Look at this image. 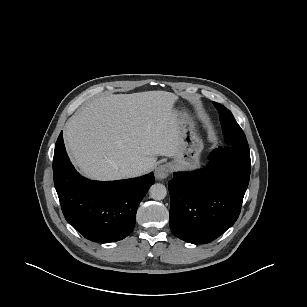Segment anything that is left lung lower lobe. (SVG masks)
Returning a JSON list of instances; mask_svg holds the SVG:
<instances>
[{"mask_svg":"<svg viewBox=\"0 0 307 307\" xmlns=\"http://www.w3.org/2000/svg\"><path fill=\"white\" fill-rule=\"evenodd\" d=\"M207 167L175 172L169 181V224L189 243H209L237 220L250 177V152L231 146L212 151Z\"/></svg>","mask_w":307,"mask_h":307,"instance_id":"0a47b994","label":"left lung lower lobe"}]
</instances>
